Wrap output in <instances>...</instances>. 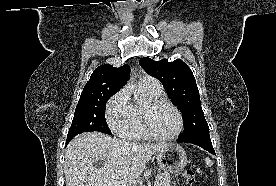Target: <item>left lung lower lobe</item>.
I'll return each instance as SVG.
<instances>
[{"label":"left lung lower lobe","instance_id":"0a47b994","mask_svg":"<svg viewBox=\"0 0 276 186\" xmlns=\"http://www.w3.org/2000/svg\"><path fill=\"white\" fill-rule=\"evenodd\" d=\"M177 141L198 145L215 155L209 132H201L187 137H179Z\"/></svg>","mask_w":276,"mask_h":186}]
</instances>
